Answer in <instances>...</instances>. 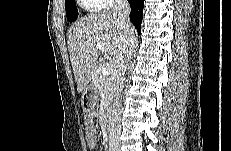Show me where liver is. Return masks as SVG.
<instances>
[{"label":"liver","instance_id":"1","mask_svg":"<svg viewBox=\"0 0 231 151\" xmlns=\"http://www.w3.org/2000/svg\"><path fill=\"white\" fill-rule=\"evenodd\" d=\"M133 36L135 41V32ZM126 41L113 12L90 14L69 28L67 43L78 93L84 91L94 78L100 52L117 69ZM97 44L104 45L105 51L97 49Z\"/></svg>","mask_w":231,"mask_h":151}]
</instances>
